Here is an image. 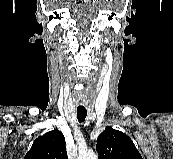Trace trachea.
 <instances>
[{"mask_svg": "<svg viewBox=\"0 0 173 159\" xmlns=\"http://www.w3.org/2000/svg\"><path fill=\"white\" fill-rule=\"evenodd\" d=\"M87 116V110L83 108H77V118L78 121L81 123L85 120Z\"/></svg>", "mask_w": 173, "mask_h": 159, "instance_id": "obj_1", "label": "trachea"}]
</instances>
